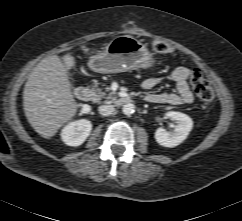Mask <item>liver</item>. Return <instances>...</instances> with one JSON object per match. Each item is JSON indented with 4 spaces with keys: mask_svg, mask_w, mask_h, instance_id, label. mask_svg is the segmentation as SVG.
<instances>
[{
    "mask_svg": "<svg viewBox=\"0 0 242 221\" xmlns=\"http://www.w3.org/2000/svg\"><path fill=\"white\" fill-rule=\"evenodd\" d=\"M23 106L28 122L47 139L75 116L68 72L57 55L42 59L33 69L24 87Z\"/></svg>",
    "mask_w": 242,
    "mask_h": 221,
    "instance_id": "1",
    "label": "liver"
}]
</instances>
